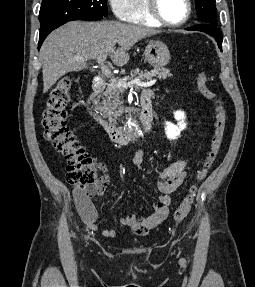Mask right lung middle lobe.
Wrapping results in <instances>:
<instances>
[{"mask_svg":"<svg viewBox=\"0 0 255 287\" xmlns=\"http://www.w3.org/2000/svg\"><path fill=\"white\" fill-rule=\"evenodd\" d=\"M107 0H42L40 30L74 20L95 21L107 16Z\"/></svg>","mask_w":255,"mask_h":287,"instance_id":"1","label":"right lung middle lobe"}]
</instances>
